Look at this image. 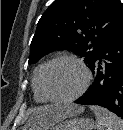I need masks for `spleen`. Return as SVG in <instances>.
Segmentation results:
<instances>
[{
  "label": "spleen",
  "instance_id": "3e777b00",
  "mask_svg": "<svg viewBox=\"0 0 123 130\" xmlns=\"http://www.w3.org/2000/svg\"><path fill=\"white\" fill-rule=\"evenodd\" d=\"M96 116L97 130H123V120L100 106H90Z\"/></svg>",
  "mask_w": 123,
  "mask_h": 130
}]
</instances>
